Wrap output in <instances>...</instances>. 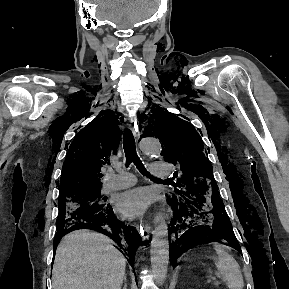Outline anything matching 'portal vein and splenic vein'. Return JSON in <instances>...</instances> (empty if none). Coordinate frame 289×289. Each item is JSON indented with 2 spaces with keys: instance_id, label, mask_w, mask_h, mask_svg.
I'll return each instance as SVG.
<instances>
[{
  "instance_id": "portal-vein-and-splenic-vein-1",
  "label": "portal vein and splenic vein",
  "mask_w": 289,
  "mask_h": 289,
  "mask_svg": "<svg viewBox=\"0 0 289 289\" xmlns=\"http://www.w3.org/2000/svg\"><path fill=\"white\" fill-rule=\"evenodd\" d=\"M207 281H208V282H217L218 280H217V278L214 277V276H209Z\"/></svg>"
}]
</instances>
